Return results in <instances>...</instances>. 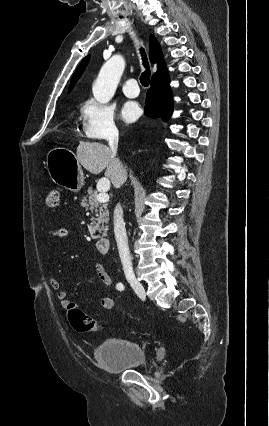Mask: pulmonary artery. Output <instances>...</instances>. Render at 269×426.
Instances as JSON below:
<instances>
[{
    "instance_id": "pulmonary-artery-1",
    "label": "pulmonary artery",
    "mask_w": 269,
    "mask_h": 426,
    "mask_svg": "<svg viewBox=\"0 0 269 426\" xmlns=\"http://www.w3.org/2000/svg\"><path fill=\"white\" fill-rule=\"evenodd\" d=\"M123 93L129 98H135L139 95V87L135 78H129L122 86Z\"/></svg>"
}]
</instances>
